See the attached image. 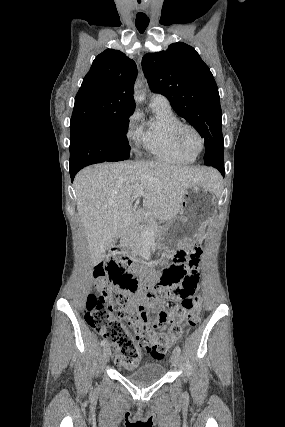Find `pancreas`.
Returning a JSON list of instances; mask_svg holds the SVG:
<instances>
[{
	"label": "pancreas",
	"instance_id": "pancreas-1",
	"mask_svg": "<svg viewBox=\"0 0 285 427\" xmlns=\"http://www.w3.org/2000/svg\"><path fill=\"white\" fill-rule=\"evenodd\" d=\"M153 214L137 215L131 227L125 231L122 244L128 247L139 245L146 236L154 235L157 227L152 224Z\"/></svg>",
	"mask_w": 285,
	"mask_h": 427
}]
</instances>
